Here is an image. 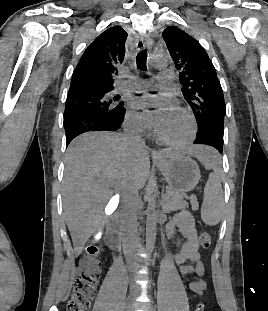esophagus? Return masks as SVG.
Listing matches in <instances>:
<instances>
[{"mask_svg":"<svg viewBox=\"0 0 268 311\" xmlns=\"http://www.w3.org/2000/svg\"><path fill=\"white\" fill-rule=\"evenodd\" d=\"M146 45H149V41L146 36L140 35L137 39L136 48L138 51L143 50ZM154 154H158L156 150L153 151Z\"/></svg>","mask_w":268,"mask_h":311,"instance_id":"34e87169","label":"esophagus"}]
</instances>
